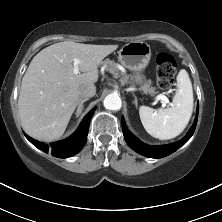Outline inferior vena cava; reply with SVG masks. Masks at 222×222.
<instances>
[{
	"label": "inferior vena cava",
	"instance_id": "602c4592",
	"mask_svg": "<svg viewBox=\"0 0 222 222\" xmlns=\"http://www.w3.org/2000/svg\"><path fill=\"white\" fill-rule=\"evenodd\" d=\"M95 93H96V87L94 84H87L79 89V96L84 99H88L94 96Z\"/></svg>",
	"mask_w": 222,
	"mask_h": 222
}]
</instances>
